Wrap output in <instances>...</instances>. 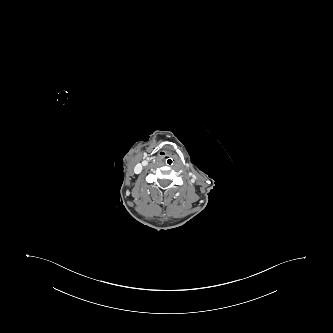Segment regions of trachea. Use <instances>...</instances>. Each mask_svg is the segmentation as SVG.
<instances>
[{
	"instance_id": "trachea-1",
	"label": "trachea",
	"mask_w": 333,
	"mask_h": 333,
	"mask_svg": "<svg viewBox=\"0 0 333 333\" xmlns=\"http://www.w3.org/2000/svg\"><path fill=\"white\" fill-rule=\"evenodd\" d=\"M160 163H161L164 167H170V166L174 163V158H173L170 154H164V155L160 158Z\"/></svg>"
}]
</instances>
